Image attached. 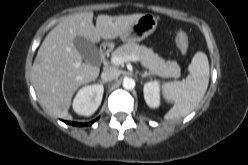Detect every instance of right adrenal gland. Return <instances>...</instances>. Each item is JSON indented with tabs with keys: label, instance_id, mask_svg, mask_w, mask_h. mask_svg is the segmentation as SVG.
<instances>
[{
	"label": "right adrenal gland",
	"instance_id": "2a0ac1e0",
	"mask_svg": "<svg viewBox=\"0 0 248 165\" xmlns=\"http://www.w3.org/2000/svg\"><path fill=\"white\" fill-rule=\"evenodd\" d=\"M99 82H100L101 84H106V82H105V81H102V80H99Z\"/></svg>",
	"mask_w": 248,
	"mask_h": 165
}]
</instances>
